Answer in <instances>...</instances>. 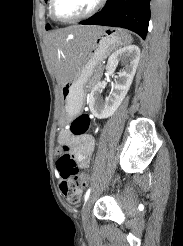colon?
I'll return each mask as SVG.
<instances>
[{"label":"colon","mask_w":183,"mask_h":246,"mask_svg":"<svg viewBox=\"0 0 183 246\" xmlns=\"http://www.w3.org/2000/svg\"><path fill=\"white\" fill-rule=\"evenodd\" d=\"M91 128V119L87 114H79L70 125L74 135H84ZM59 157L57 169L60 174V191L66 201L72 204L79 203L83 188L87 185L89 175L81 172L75 160L68 153V147L61 145L58 149Z\"/></svg>","instance_id":"colon-1"}]
</instances>
